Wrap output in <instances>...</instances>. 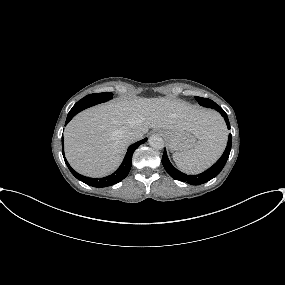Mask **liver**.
Returning a JSON list of instances; mask_svg holds the SVG:
<instances>
[{
	"instance_id": "liver-1",
	"label": "liver",
	"mask_w": 285,
	"mask_h": 285,
	"mask_svg": "<svg viewBox=\"0 0 285 285\" xmlns=\"http://www.w3.org/2000/svg\"><path fill=\"white\" fill-rule=\"evenodd\" d=\"M222 119L211 110L165 98L120 99L76 115L64 131L70 165L89 177H103L120 165L126 147L124 134L142 136L150 128L188 131L198 139L209 137Z\"/></svg>"
}]
</instances>
